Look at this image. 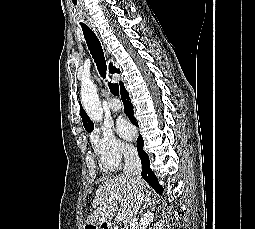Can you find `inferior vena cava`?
<instances>
[{
  "instance_id": "obj_1",
  "label": "inferior vena cava",
  "mask_w": 255,
  "mask_h": 229,
  "mask_svg": "<svg viewBox=\"0 0 255 229\" xmlns=\"http://www.w3.org/2000/svg\"><path fill=\"white\" fill-rule=\"evenodd\" d=\"M124 169L123 173L132 182L136 183V179L141 174L142 165L141 160L139 158L137 149L132 146H128L124 150ZM138 192V190H136ZM144 200V196L138 192V195L136 197V203L133 208L132 212V218L130 221V224H134L136 221V214L138 210L140 209V206Z\"/></svg>"
}]
</instances>
